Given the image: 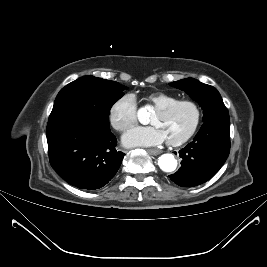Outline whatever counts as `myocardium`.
<instances>
[{"label":"myocardium","instance_id":"f54148a6","mask_svg":"<svg viewBox=\"0 0 267 267\" xmlns=\"http://www.w3.org/2000/svg\"><path fill=\"white\" fill-rule=\"evenodd\" d=\"M181 105H190L193 108L195 112L194 122L192 126L190 127V129L187 131V133L184 134L182 137L175 139V140H167V144L170 146H179L187 142L196 133L200 125L201 119H202V111H201L199 104L190 99L177 100L175 102H172L170 104H167L163 107L156 109V112L159 114H167L171 112L173 109H175L176 107L181 106Z\"/></svg>","mask_w":267,"mask_h":267}]
</instances>
